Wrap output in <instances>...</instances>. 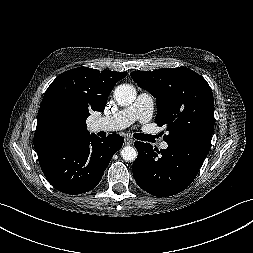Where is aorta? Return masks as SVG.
Instances as JSON below:
<instances>
[{
  "mask_svg": "<svg viewBox=\"0 0 253 253\" xmlns=\"http://www.w3.org/2000/svg\"><path fill=\"white\" fill-rule=\"evenodd\" d=\"M136 95V89L129 84H121L114 91V98L121 106L132 104L136 99ZM137 155V150L131 146H125L121 150V156L125 161H134Z\"/></svg>",
  "mask_w": 253,
  "mask_h": 253,
  "instance_id": "762f6f07",
  "label": "aorta"
}]
</instances>
